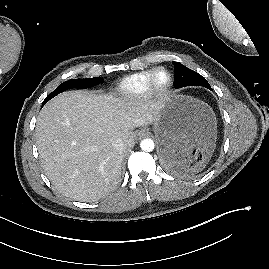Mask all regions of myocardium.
I'll use <instances>...</instances> for the list:
<instances>
[{
  "label": "myocardium",
  "instance_id": "1",
  "mask_svg": "<svg viewBox=\"0 0 269 269\" xmlns=\"http://www.w3.org/2000/svg\"><path fill=\"white\" fill-rule=\"evenodd\" d=\"M164 72L167 75V80L164 84L157 83V76L159 73ZM174 78L172 73L165 67H157L152 70L149 80L147 82L146 92L151 97L162 98L168 94L173 86Z\"/></svg>",
  "mask_w": 269,
  "mask_h": 269
}]
</instances>
